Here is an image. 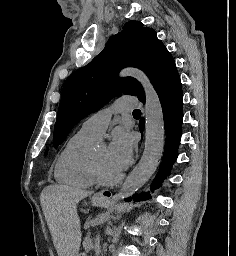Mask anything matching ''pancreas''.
<instances>
[{
	"label": "pancreas",
	"instance_id": "obj_1",
	"mask_svg": "<svg viewBox=\"0 0 236 256\" xmlns=\"http://www.w3.org/2000/svg\"><path fill=\"white\" fill-rule=\"evenodd\" d=\"M82 246L84 247V250H92V239L91 238H84Z\"/></svg>",
	"mask_w": 236,
	"mask_h": 256
}]
</instances>
